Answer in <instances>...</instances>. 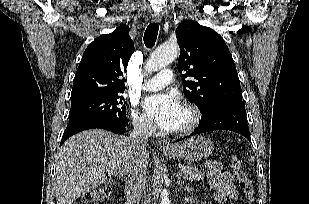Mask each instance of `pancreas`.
I'll return each instance as SVG.
<instances>
[{
	"instance_id": "1",
	"label": "pancreas",
	"mask_w": 309,
	"mask_h": 204,
	"mask_svg": "<svg viewBox=\"0 0 309 204\" xmlns=\"http://www.w3.org/2000/svg\"><path fill=\"white\" fill-rule=\"evenodd\" d=\"M182 173L184 174V178L188 180H201L205 176V173L201 170H198L195 166L191 164L186 165L182 168Z\"/></svg>"
}]
</instances>
